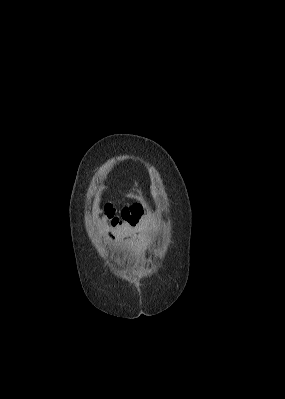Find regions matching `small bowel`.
I'll use <instances>...</instances> for the list:
<instances>
[{"instance_id":"small-bowel-1","label":"small bowel","mask_w":285,"mask_h":399,"mask_svg":"<svg viewBox=\"0 0 285 399\" xmlns=\"http://www.w3.org/2000/svg\"><path fill=\"white\" fill-rule=\"evenodd\" d=\"M143 213V208L141 207V206H137V207H135V208H126L125 210H123L122 211V216L124 217V218H127V220L128 221H130L129 220V218H131L132 216H134V215H141ZM130 225H131V222H130V224L129 223H126L125 225H124V230L125 231H128L129 230V228H130Z\"/></svg>"}]
</instances>
